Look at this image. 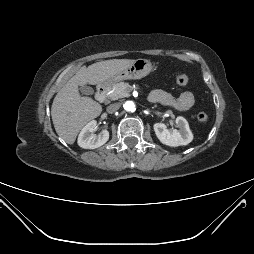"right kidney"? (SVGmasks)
<instances>
[{"label": "right kidney", "mask_w": 254, "mask_h": 254, "mask_svg": "<svg viewBox=\"0 0 254 254\" xmlns=\"http://www.w3.org/2000/svg\"><path fill=\"white\" fill-rule=\"evenodd\" d=\"M97 128V121H90L81 130L78 136V145L84 149H95L104 145L109 139V132L103 130L99 134H93Z\"/></svg>", "instance_id": "ca27d5eb"}]
</instances>
